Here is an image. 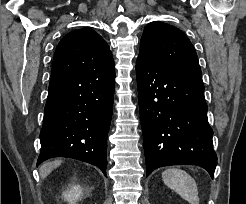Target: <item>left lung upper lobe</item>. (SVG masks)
Masks as SVG:
<instances>
[{"label": "left lung upper lobe", "instance_id": "left-lung-upper-lobe-1", "mask_svg": "<svg viewBox=\"0 0 246 204\" xmlns=\"http://www.w3.org/2000/svg\"><path fill=\"white\" fill-rule=\"evenodd\" d=\"M138 59L201 77L198 57L190 40L181 30L166 23L152 22L146 26Z\"/></svg>", "mask_w": 246, "mask_h": 204}]
</instances>
